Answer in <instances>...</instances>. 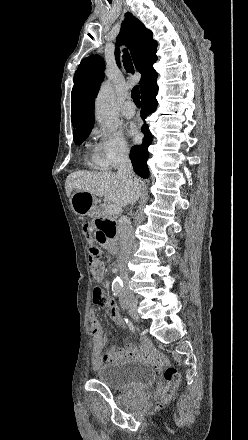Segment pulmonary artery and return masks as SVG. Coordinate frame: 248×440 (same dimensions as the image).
<instances>
[{"label": "pulmonary artery", "instance_id": "1", "mask_svg": "<svg viewBox=\"0 0 248 440\" xmlns=\"http://www.w3.org/2000/svg\"><path fill=\"white\" fill-rule=\"evenodd\" d=\"M122 114L126 118H132L136 114V108L132 101L128 100L124 103Z\"/></svg>", "mask_w": 248, "mask_h": 440}]
</instances>
